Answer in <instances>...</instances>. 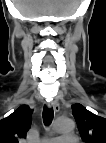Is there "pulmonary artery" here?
<instances>
[{"label": "pulmonary artery", "instance_id": "obj_1", "mask_svg": "<svg viewBox=\"0 0 106 143\" xmlns=\"http://www.w3.org/2000/svg\"><path fill=\"white\" fill-rule=\"evenodd\" d=\"M63 140L68 141V142H75L77 140V138L73 135H68V136H64V137L54 138V139H52V142L58 143V142H61Z\"/></svg>", "mask_w": 106, "mask_h": 143}]
</instances>
